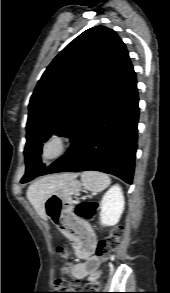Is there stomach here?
I'll return each instance as SVG.
<instances>
[{
	"mask_svg": "<svg viewBox=\"0 0 170 293\" xmlns=\"http://www.w3.org/2000/svg\"><path fill=\"white\" fill-rule=\"evenodd\" d=\"M82 188V183L74 178L55 189L44 203L46 217L71 238L73 236L68 231V224L74 219V198L79 196ZM75 238L80 245V238Z\"/></svg>",
	"mask_w": 170,
	"mask_h": 293,
	"instance_id": "obj_1",
	"label": "stomach"
}]
</instances>
